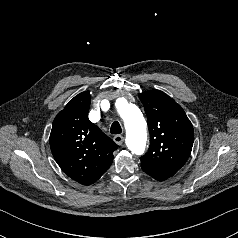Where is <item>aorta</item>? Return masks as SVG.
Wrapping results in <instances>:
<instances>
[{"mask_svg": "<svg viewBox=\"0 0 238 238\" xmlns=\"http://www.w3.org/2000/svg\"><path fill=\"white\" fill-rule=\"evenodd\" d=\"M116 108L124 121L128 149L134 154H142L147 141V124L141 111L125 99L118 100Z\"/></svg>", "mask_w": 238, "mask_h": 238, "instance_id": "obj_1", "label": "aorta"}]
</instances>
